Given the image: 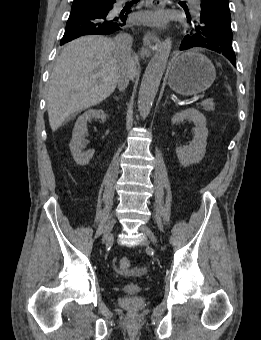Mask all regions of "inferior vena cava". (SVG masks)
Instances as JSON below:
<instances>
[{
    "label": "inferior vena cava",
    "mask_w": 261,
    "mask_h": 340,
    "mask_svg": "<svg viewBox=\"0 0 261 340\" xmlns=\"http://www.w3.org/2000/svg\"><path fill=\"white\" fill-rule=\"evenodd\" d=\"M132 37L128 34H119L116 36L114 40V45L116 50L125 58H129L131 56L132 51ZM132 78L131 71L129 69L124 70L120 75L118 79V88L119 90H124L129 80Z\"/></svg>",
    "instance_id": "602c4592"
}]
</instances>
